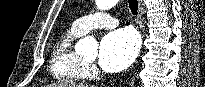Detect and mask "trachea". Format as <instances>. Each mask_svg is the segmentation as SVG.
I'll use <instances>...</instances> for the list:
<instances>
[{"mask_svg":"<svg viewBox=\"0 0 205 87\" xmlns=\"http://www.w3.org/2000/svg\"><path fill=\"white\" fill-rule=\"evenodd\" d=\"M129 8L133 15H137L138 13V2L137 0H128Z\"/></svg>","mask_w":205,"mask_h":87,"instance_id":"obj_1","label":"trachea"}]
</instances>
